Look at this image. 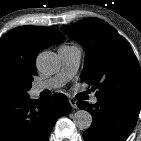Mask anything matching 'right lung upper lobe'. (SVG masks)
<instances>
[{
    "mask_svg": "<svg viewBox=\"0 0 141 141\" xmlns=\"http://www.w3.org/2000/svg\"><path fill=\"white\" fill-rule=\"evenodd\" d=\"M64 40L65 36L54 28L17 27L0 39V70L24 69L37 74V54Z\"/></svg>",
    "mask_w": 141,
    "mask_h": 141,
    "instance_id": "cb5924a9",
    "label": "right lung upper lobe"
}]
</instances>
